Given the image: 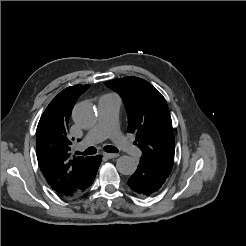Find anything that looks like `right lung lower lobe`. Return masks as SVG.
<instances>
[{
	"label": "right lung lower lobe",
	"instance_id": "1",
	"mask_svg": "<svg viewBox=\"0 0 246 246\" xmlns=\"http://www.w3.org/2000/svg\"><path fill=\"white\" fill-rule=\"evenodd\" d=\"M102 156L97 155L95 157H92V164H91V169L87 173V175L84 177V179L78 184V186L75 189V192L73 196L71 197H76L78 195H81L83 192H85L93 183L97 170L99 168V165L101 163ZM69 197V198H71Z\"/></svg>",
	"mask_w": 246,
	"mask_h": 246
}]
</instances>
